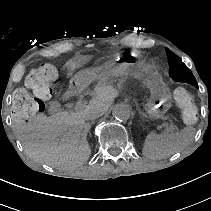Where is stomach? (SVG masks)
<instances>
[{"label":"stomach","mask_w":211,"mask_h":211,"mask_svg":"<svg viewBox=\"0 0 211 211\" xmlns=\"http://www.w3.org/2000/svg\"><path fill=\"white\" fill-rule=\"evenodd\" d=\"M144 74L141 68L128 63L109 64L79 72L75 76L74 82L79 86L86 87L94 81L108 77H119L122 80L128 77L143 79L151 92L147 113L154 119L162 118L171 106L170 90L156 73Z\"/></svg>","instance_id":"stomach-1"}]
</instances>
